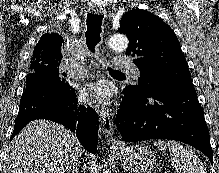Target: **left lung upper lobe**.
<instances>
[{
	"mask_svg": "<svg viewBox=\"0 0 219 173\" xmlns=\"http://www.w3.org/2000/svg\"><path fill=\"white\" fill-rule=\"evenodd\" d=\"M129 38L126 54L134 57L141 76L128 89L137 96L194 88L180 43L171 29L152 13L134 9L123 15L117 30Z\"/></svg>",
	"mask_w": 219,
	"mask_h": 173,
	"instance_id": "1",
	"label": "left lung upper lobe"
}]
</instances>
